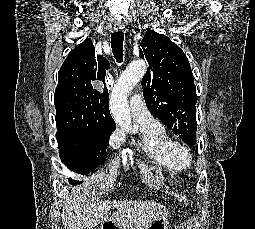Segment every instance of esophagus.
Returning <instances> with one entry per match:
<instances>
[{
	"instance_id": "obj_1",
	"label": "esophagus",
	"mask_w": 255,
	"mask_h": 229,
	"mask_svg": "<svg viewBox=\"0 0 255 229\" xmlns=\"http://www.w3.org/2000/svg\"><path fill=\"white\" fill-rule=\"evenodd\" d=\"M124 28H125V26H124V24H122V23H117V24L115 25V30H116V31H124Z\"/></svg>"
}]
</instances>
